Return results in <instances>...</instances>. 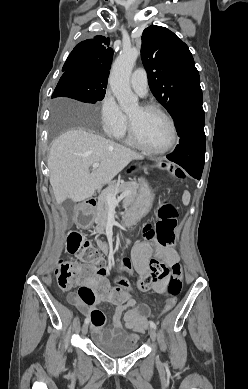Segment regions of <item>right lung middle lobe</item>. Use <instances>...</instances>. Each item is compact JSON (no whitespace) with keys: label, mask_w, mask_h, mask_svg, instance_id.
Returning <instances> with one entry per match:
<instances>
[{"label":"right lung middle lobe","mask_w":248,"mask_h":389,"mask_svg":"<svg viewBox=\"0 0 248 389\" xmlns=\"http://www.w3.org/2000/svg\"><path fill=\"white\" fill-rule=\"evenodd\" d=\"M106 86V82L95 81L86 72L78 70L65 71L52 97L64 96L94 104L104 98Z\"/></svg>","instance_id":"obj_1"}]
</instances>
